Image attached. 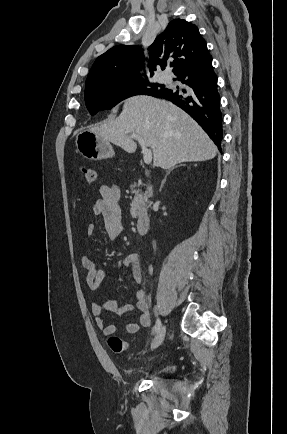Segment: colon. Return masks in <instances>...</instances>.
I'll return each mask as SVG.
<instances>
[{
    "label": "colon",
    "mask_w": 287,
    "mask_h": 434,
    "mask_svg": "<svg viewBox=\"0 0 287 434\" xmlns=\"http://www.w3.org/2000/svg\"><path fill=\"white\" fill-rule=\"evenodd\" d=\"M82 173L88 183H94L99 179V170L97 168L83 167ZM107 343L110 349L117 354L125 352L130 347L127 342L117 336H110Z\"/></svg>",
    "instance_id": "5ec220e1"
}]
</instances>
